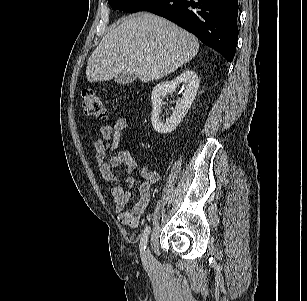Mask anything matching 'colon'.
<instances>
[{
  "mask_svg": "<svg viewBox=\"0 0 307 301\" xmlns=\"http://www.w3.org/2000/svg\"><path fill=\"white\" fill-rule=\"evenodd\" d=\"M82 97L83 108L88 115L99 120L107 119V110L98 94L93 91H86Z\"/></svg>",
  "mask_w": 307,
  "mask_h": 301,
  "instance_id": "5ec220e1",
  "label": "colon"
}]
</instances>
